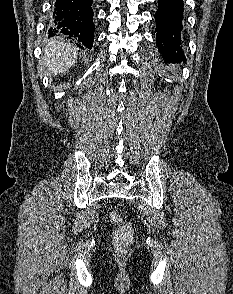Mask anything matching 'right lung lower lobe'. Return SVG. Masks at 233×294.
Masks as SVG:
<instances>
[{
  "mask_svg": "<svg viewBox=\"0 0 233 294\" xmlns=\"http://www.w3.org/2000/svg\"><path fill=\"white\" fill-rule=\"evenodd\" d=\"M91 5L92 0H56L49 21V35H65L78 41L77 45L82 49V45L92 48L94 24Z\"/></svg>",
  "mask_w": 233,
  "mask_h": 294,
  "instance_id": "right-lung-lower-lobe-1",
  "label": "right lung lower lobe"
}]
</instances>
